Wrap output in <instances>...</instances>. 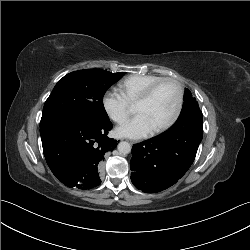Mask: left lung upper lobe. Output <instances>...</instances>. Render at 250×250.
<instances>
[{"label":"left lung upper lobe","instance_id":"5c2ea615","mask_svg":"<svg viewBox=\"0 0 250 250\" xmlns=\"http://www.w3.org/2000/svg\"><path fill=\"white\" fill-rule=\"evenodd\" d=\"M185 115H189L191 118L200 117L203 119L198 102L192 97L191 92L187 88L185 89L183 108L179 117Z\"/></svg>","mask_w":250,"mask_h":250}]
</instances>
